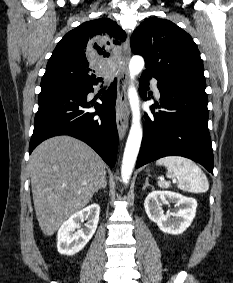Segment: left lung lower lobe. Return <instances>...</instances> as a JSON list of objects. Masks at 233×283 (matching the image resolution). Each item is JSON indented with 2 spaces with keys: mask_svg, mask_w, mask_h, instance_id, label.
Instances as JSON below:
<instances>
[{
  "mask_svg": "<svg viewBox=\"0 0 233 283\" xmlns=\"http://www.w3.org/2000/svg\"><path fill=\"white\" fill-rule=\"evenodd\" d=\"M140 78V94L147 100L148 79ZM206 86L178 81L158 80L160 105L146 113V125L136 168L164 156L178 155L192 159L213 173V152L208 130ZM155 108H163L155 113Z\"/></svg>",
  "mask_w": 233,
  "mask_h": 283,
  "instance_id": "1",
  "label": "left lung lower lobe"
}]
</instances>
